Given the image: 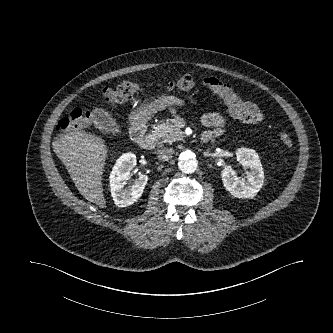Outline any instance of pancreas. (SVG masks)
I'll list each match as a JSON object with an SVG mask.
<instances>
[{
  "label": "pancreas",
  "instance_id": "pancreas-1",
  "mask_svg": "<svg viewBox=\"0 0 333 333\" xmlns=\"http://www.w3.org/2000/svg\"><path fill=\"white\" fill-rule=\"evenodd\" d=\"M153 134L156 139L161 140L163 143L172 144L175 141L183 140L184 133L182 130L169 120L163 121L157 127H154Z\"/></svg>",
  "mask_w": 333,
  "mask_h": 333
}]
</instances>
